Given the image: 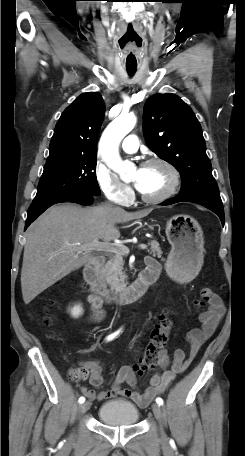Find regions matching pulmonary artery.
<instances>
[{
    "instance_id": "e3ab8cb5",
    "label": "pulmonary artery",
    "mask_w": 245,
    "mask_h": 456,
    "mask_svg": "<svg viewBox=\"0 0 245 456\" xmlns=\"http://www.w3.org/2000/svg\"><path fill=\"white\" fill-rule=\"evenodd\" d=\"M139 142L138 138L134 134L128 135L122 142V149L126 153H134L138 150Z\"/></svg>"
}]
</instances>
